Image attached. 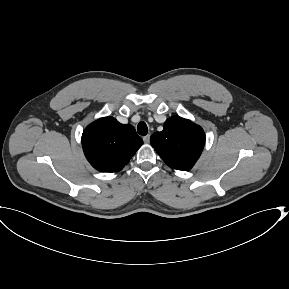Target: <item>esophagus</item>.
<instances>
[{
    "label": "esophagus",
    "instance_id": "1",
    "mask_svg": "<svg viewBox=\"0 0 289 289\" xmlns=\"http://www.w3.org/2000/svg\"><path fill=\"white\" fill-rule=\"evenodd\" d=\"M143 141H144V143H149V141H150V135L148 134V135H146V136H144L143 137Z\"/></svg>",
    "mask_w": 289,
    "mask_h": 289
}]
</instances>
